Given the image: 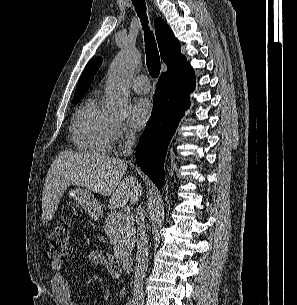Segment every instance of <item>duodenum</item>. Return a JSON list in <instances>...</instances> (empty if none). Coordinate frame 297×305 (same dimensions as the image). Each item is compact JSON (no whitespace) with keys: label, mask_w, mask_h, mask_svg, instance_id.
Instances as JSON below:
<instances>
[{"label":"duodenum","mask_w":297,"mask_h":305,"mask_svg":"<svg viewBox=\"0 0 297 305\" xmlns=\"http://www.w3.org/2000/svg\"><path fill=\"white\" fill-rule=\"evenodd\" d=\"M121 262H122L123 270L126 273H131L132 269H133V260H132V258H130V257H123Z\"/></svg>","instance_id":"obj_1"}]
</instances>
